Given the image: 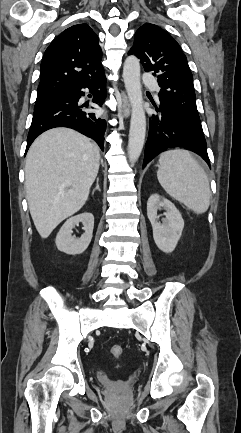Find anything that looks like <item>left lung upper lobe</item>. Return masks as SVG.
Listing matches in <instances>:
<instances>
[{"mask_svg":"<svg viewBox=\"0 0 241 433\" xmlns=\"http://www.w3.org/2000/svg\"><path fill=\"white\" fill-rule=\"evenodd\" d=\"M129 54L137 56L145 71H154L161 90L160 104L170 108L186 124L203 134L193 76L187 58L174 38L162 28L146 23L135 33Z\"/></svg>","mask_w":241,"mask_h":433,"instance_id":"left-lung-upper-lobe-1","label":"left lung upper lobe"}]
</instances>
